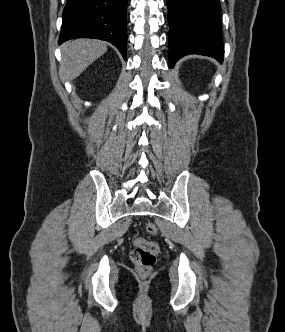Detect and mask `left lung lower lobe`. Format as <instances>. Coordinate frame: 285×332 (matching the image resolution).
<instances>
[{"instance_id": "obj_1", "label": "left lung lower lobe", "mask_w": 285, "mask_h": 332, "mask_svg": "<svg viewBox=\"0 0 285 332\" xmlns=\"http://www.w3.org/2000/svg\"><path fill=\"white\" fill-rule=\"evenodd\" d=\"M169 64L188 54H200L223 61L219 0H167Z\"/></svg>"}]
</instances>
